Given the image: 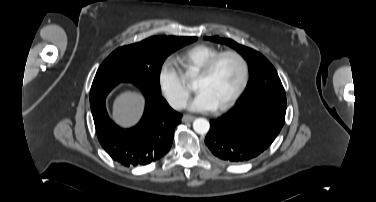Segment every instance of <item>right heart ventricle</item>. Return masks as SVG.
<instances>
[{
  "instance_id": "1",
  "label": "right heart ventricle",
  "mask_w": 376,
  "mask_h": 202,
  "mask_svg": "<svg viewBox=\"0 0 376 202\" xmlns=\"http://www.w3.org/2000/svg\"><path fill=\"white\" fill-rule=\"evenodd\" d=\"M220 49L208 44H198L180 53H177L173 60L185 75H195L201 67L213 56L218 54Z\"/></svg>"
}]
</instances>
